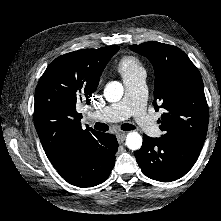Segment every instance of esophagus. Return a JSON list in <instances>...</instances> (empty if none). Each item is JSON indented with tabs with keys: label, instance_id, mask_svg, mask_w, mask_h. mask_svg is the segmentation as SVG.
<instances>
[{
	"label": "esophagus",
	"instance_id": "esophagus-1",
	"mask_svg": "<svg viewBox=\"0 0 221 221\" xmlns=\"http://www.w3.org/2000/svg\"><path fill=\"white\" fill-rule=\"evenodd\" d=\"M116 138H117L119 143H123L125 138H126V133L125 132H118L116 134Z\"/></svg>",
	"mask_w": 221,
	"mask_h": 221
}]
</instances>
